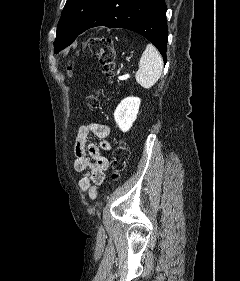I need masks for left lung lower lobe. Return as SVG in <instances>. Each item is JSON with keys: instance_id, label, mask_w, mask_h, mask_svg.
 Wrapping results in <instances>:
<instances>
[{"instance_id": "0a47b994", "label": "left lung lower lobe", "mask_w": 240, "mask_h": 281, "mask_svg": "<svg viewBox=\"0 0 240 281\" xmlns=\"http://www.w3.org/2000/svg\"><path fill=\"white\" fill-rule=\"evenodd\" d=\"M166 10L164 0H103L80 34L96 26L132 30L148 39L166 63Z\"/></svg>"}]
</instances>
